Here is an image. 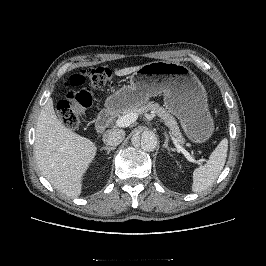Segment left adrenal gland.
Returning a JSON list of instances; mask_svg holds the SVG:
<instances>
[{"label":"left adrenal gland","instance_id":"obj_1","mask_svg":"<svg viewBox=\"0 0 266 266\" xmlns=\"http://www.w3.org/2000/svg\"><path fill=\"white\" fill-rule=\"evenodd\" d=\"M163 148H166L168 150V152H170V147L168 146V137L166 136L165 138V142L163 144Z\"/></svg>","mask_w":266,"mask_h":266}]
</instances>
